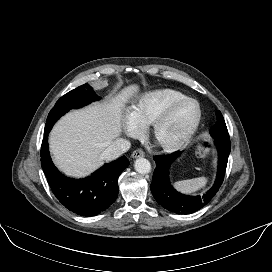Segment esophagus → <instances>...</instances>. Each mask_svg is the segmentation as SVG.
Segmentation results:
<instances>
[{
    "label": "esophagus",
    "mask_w": 272,
    "mask_h": 272,
    "mask_svg": "<svg viewBox=\"0 0 272 272\" xmlns=\"http://www.w3.org/2000/svg\"><path fill=\"white\" fill-rule=\"evenodd\" d=\"M133 158H139L144 156V152L140 149H136L133 151L132 155Z\"/></svg>",
    "instance_id": "34e87169"
}]
</instances>
